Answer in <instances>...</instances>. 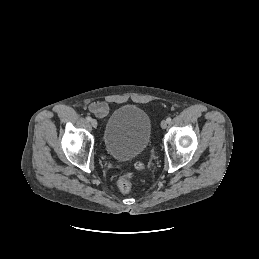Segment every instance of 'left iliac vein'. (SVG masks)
Masks as SVG:
<instances>
[{
  "instance_id": "left-iliac-vein-1",
  "label": "left iliac vein",
  "mask_w": 259,
  "mask_h": 259,
  "mask_svg": "<svg viewBox=\"0 0 259 259\" xmlns=\"http://www.w3.org/2000/svg\"><path fill=\"white\" fill-rule=\"evenodd\" d=\"M167 121L166 120H163L162 122H161V128L162 129H165L166 127H167Z\"/></svg>"
}]
</instances>
